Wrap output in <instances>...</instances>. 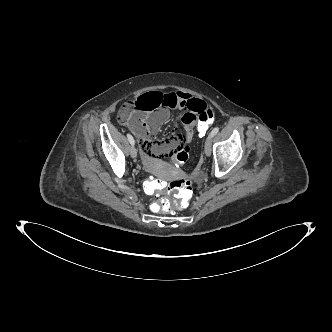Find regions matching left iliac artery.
I'll list each match as a JSON object with an SVG mask.
<instances>
[{"instance_id":"obj_1","label":"left iliac artery","mask_w":332,"mask_h":332,"mask_svg":"<svg viewBox=\"0 0 332 332\" xmlns=\"http://www.w3.org/2000/svg\"><path fill=\"white\" fill-rule=\"evenodd\" d=\"M218 132H219V128H218V127H215V128L211 131L210 136H211V137H214Z\"/></svg>"}]
</instances>
